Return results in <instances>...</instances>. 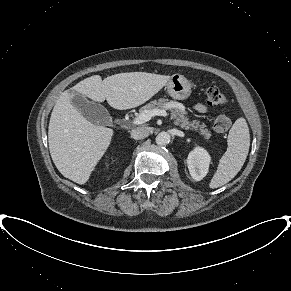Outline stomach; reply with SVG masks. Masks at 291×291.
<instances>
[{
    "label": "stomach",
    "instance_id": "obj_1",
    "mask_svg": "<svg viewBox=\"0 0 291 291\" xmlns=\"http://www.w3.org/2000/svg\"><path fill=\"white\" fill-rule=\"evenodd\" d=\"M191 82L183 75L174 74L166 84L168 94L175 100H185L191 95Z\"/></svg>",
    "mask_w": 291,
    "mask_h": 291
}]
</instances>
